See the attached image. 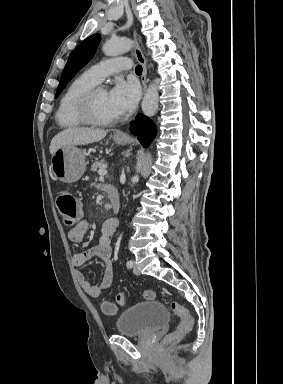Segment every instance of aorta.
I'll use <instances>...</instances> for the list:
<instances>
[{
	"instance_id": "obj_1",
	"label": "aorta",
	"mask_w": 283,
	"mask_h": 384,
	"mask_svg": "<svg viewBox=\"0 0 283 384\" xmlns=\"http://www.w3.org/2000/svg\"><path fill=\"white\" fill-rule=\"evenodd\" d=\"M133 47V41L128 38H119L115 40H109L103 45V52L107 56H117L120 54H123L125 52H128ZM159 104V93H158V87L157 85L152 82L142 100V111L144 115L151 117L153 116L157 109ZM142 166V156L138 157L136 169L137 172H140ZM135 181H138L139 177L138 175H135L133 177Z\"/></svg>"
}]
</instances>
